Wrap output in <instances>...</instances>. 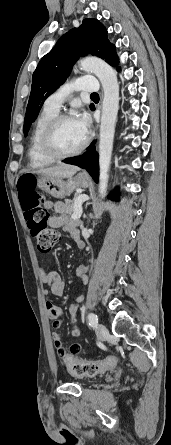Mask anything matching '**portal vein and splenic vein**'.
Returning <instances> with one entry per match:
<instances>
[{
  "instance_id": "18ae733b",
  "label": "portal vein and splenic vein",
  "mask_w": 171,
  "mask_h": 445,
  "mask_svg": "<svg viewBox=\"0 0 171 445\" xmlns=\"http://www.w3.org/2000/svg\"><path fill=\"white\" fill-rule=\"evenodd\" d=\"M88 200L87 196H81L75 201V209L73 211V214L71 215V218L73 220L79 219L82 215V202Z\"/></svg>"
}]
</instances>
